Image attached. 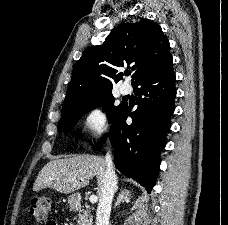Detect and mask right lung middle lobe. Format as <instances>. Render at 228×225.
<instances>
[{"mask_svg":"<svg viewBox=\"0 0 228 225\" xmlns=\"http://www.w3.org/2000/svg\"><path fill=\"white\" fill-rule=\"evenodd\" d=\"M114 101L115 98L112 92H108L64 106L62 108V117L58 123V130L64 133L68 132L83 114L93 108L101 106L104 108L103 111L107 112L109 123H111L124 106L122 103L119 106H114Z\"/></svg>","mask_w":228,"mask_h":225,"instance_id":"obj_1","label":"right lung middle lobe"}]
</instances>
